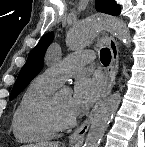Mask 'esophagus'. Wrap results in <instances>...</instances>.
I'll use <instances>...</instances> for the list:
<instances>
[{
    "mask_svg": "<svg viewBox=\"0 0 145 147\" xmlns=\"http://www.w3.org/2000/svg\"><path fill=\"white\" fill-rule=\"evenodd\" d=\"M108 46L111 52V63L108 69V72L106 74V85L105 88L99 98V100L97 101V103L95 104V106L93 107V109L91 110L90 114L87 116L86 120L83 122V124L77 128L69 137V142L70 143H74L77 141H81L84 138V135L86 134V132L88 131L91 121L93 119V116L99 106V104L111 93L112 88L115 84V78H116V74L118 71V67H119V49H118V45L116 40L114 39V37L109 36L108 37Z\"/></svg>",
    "mask_w": 145,
    "mask_h": 147,
    "instance_id": "obj_1",
    "label": "esophagus"
}]
</instances>
